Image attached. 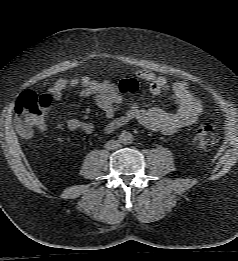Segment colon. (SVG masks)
Listing matches in <instances>:
<instances>
[{
    "mask_svg": "<svg viewBox=\"0 0 238 261\" xmlns=\"http://www.w3.org/2000/svg\"><path fill=\"white\" fill-rule=\"evenodd\" d=\"M121 92H134L138 89V82L133 78L120 80ZM53 101L45 94L37 95L26 91L19 97L15 106V126L23 137H30L35 129L43 124V113L52 105ZM218 141V134L210 125L200 126L194 136V142L199 148H210Z\"/></svg>",
    "mask_w": 238,
    "mask_h": 261,
    "instance_id": "5ec220e1",
    "label": "colon"
}]
</instances>
